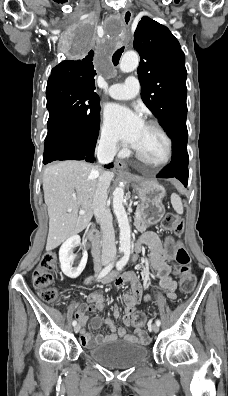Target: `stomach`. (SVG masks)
<instances>
[{
	"mask_svg": "<svg viewBox=\"0 0 228 396\" xmlns=\"http://www.w3.org/2000/svg\"><path fill=\"white\" fill-rule=\"evenodd\" d=\"M133 187L140 199L138 209L141 212L137 214L141 216L143 222L149 225L157 223L165 214V208L162 199L165 196V189L154 180H141L132 178Z\"/></svg>",
	"mask_w": 228,
	"mask_h": 396,
	"instance_id": "stomach-1",
	"label": "stomach"
}]
</instances>
